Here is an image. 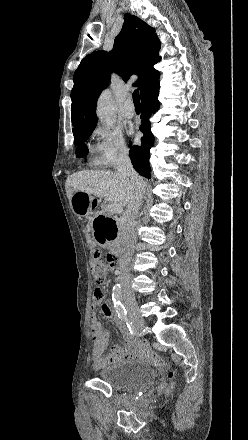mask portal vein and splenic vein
<instances>
[{
  "mask_svg": "<svg viewBox=\"0 0 248 440\" xmlns=\"http://www.w3.org/2000/svg\"><path fill=\"white\" fill-rule=\"evenodd\" d=\"M107 210L110 213L119 214L123 211V207L117 203H112L107 206Z\"/></svg>",
  "mask_w": 248,
  "mask_h": 440,
  "instance_id": "obj_1",
  "label": "portal vein and splenic vein"
}]
</instances>
